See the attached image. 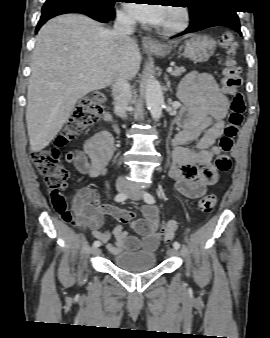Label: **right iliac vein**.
<instances>
[{"label":"right iliac vein","instance_id":"1","mask_svg":"<svg viewBox=\"0 0 270 338\" xmlns=\"http://www.w3.org/2000/svg\"><path fill=\"white\" fill-rule=\"evenodd\" d=\"M116 189L119 193H124L129 189V186L126 184L119 183L117 184ZM92 252L94 255H98L100 253V249L98 247H94L92 249Z\"/></svg>","mask_w":270,"mask_h":338}]
</instances>
